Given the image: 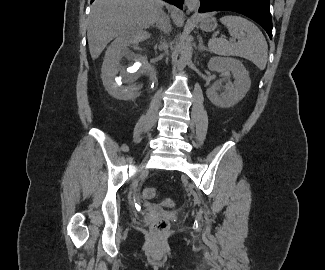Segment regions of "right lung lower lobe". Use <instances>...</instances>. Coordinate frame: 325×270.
I'll use <instances>...</instances> for the list:
<instances>
[{
    "instance_id": "98d812e1",
    "label": "right lung lower lobe",
    "mask_w": 325,
    "mask_h": 270,
    "mask_svg": "<svg viewBox=\"0 0 325 270\" xmlns=\"http://www.w3.org/2000/svg\"><path fill=\"white\" fill-rule=\"evenodd\" d=\"M94 0H91V2H93ZM171 4H174L175 6H177L178 8L182 9L184 0H165Z\"/></svg>"
}]
</instances>
